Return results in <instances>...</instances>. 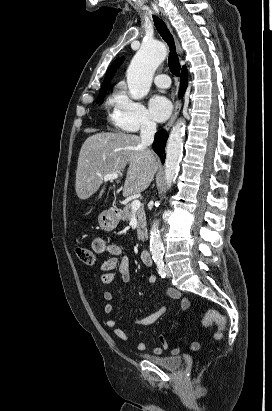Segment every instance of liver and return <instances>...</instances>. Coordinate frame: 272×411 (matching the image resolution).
<instances>
[{"label":"liver","instance_id":"liver-1","mask_svg":"<svg viewBox=\"0 0 272 411\" xmlns=\"http://www.w3.org/2000/svg\"><path fill=\"white\" fill-rule=\"evenodd\" d=\"M127 166L123 188L125 197L149 187L158 163L154 153L141 145L137 135L107 132L88 137L78 158L75 183L77 196L82 200L89 199L98 191L106 174L117 173L122 176Z\"/></svg>","mask_w":272,"mask_h":411}]
</instances>
